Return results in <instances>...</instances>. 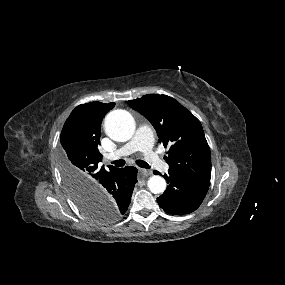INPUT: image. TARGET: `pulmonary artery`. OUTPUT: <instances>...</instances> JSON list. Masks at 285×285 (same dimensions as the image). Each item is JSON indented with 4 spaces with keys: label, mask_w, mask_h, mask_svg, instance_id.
<instances>
[{
    "label": "pulmonary artery",
    "mask_w": 285,
    "mask_h": 285,
    "mask_svg": "<svg viewBox=\"0 0 285 285\" xmlns=\"http://www.w3.org/2000/svg\"><path fill=\"white\" fill-rule=\"evenodd\" d=\"M153 142L154 136L152 129L145 124L139 125L133 138L119 149L107 154L106 158L108 160H115L140 151L144 154L150 165L162 173H167L169 165L153 151Z\"/></svg>",
    "instance_id": "obj_1"
}]
</instances>
